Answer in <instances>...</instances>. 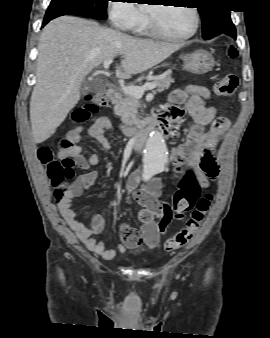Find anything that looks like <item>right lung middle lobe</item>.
<instances>
[{
    "instance_id": "dd1d6c3e",
    "label": "right lung middle lobe",
    "mask_w": 270,
    "mask_h": 338,
    "mask_svg": "<svg viewBox=\"0 0 270 338\" xmlns=\"http://www.w3.org/2000/svg\"><path fill=\"white\" fill-rule=\"evenodd\" d=\"M109 0H52L45 17L62 15H79L93 19L105 20Z\"/></svg>"
}]
</instances>
